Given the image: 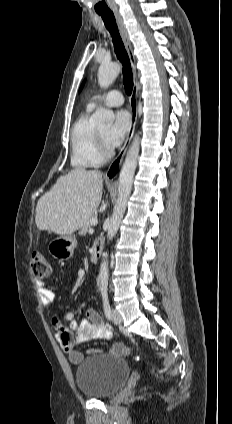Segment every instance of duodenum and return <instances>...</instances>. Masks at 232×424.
Returning <instances> with one entry per match:
<instances>
[{
	"label": "duodenum",
	"instance_id": "duodenum-1",
	"mask_svg": "<svg viewBox=\"0 0 232 424\" xmlns=\"http://www.w3.org/2000/svg\"><path fill=\"white\" fill-rule=\"evenodd\" d=\"M103 245H104V241L103 239H99L97 240V242L94 245L93 251H92V255H91V261L92 262H97L100 258L102 249H103Z\"/></svg>",
	"mask_w": 232,
	"mask_h": 424
}]
</instances>
